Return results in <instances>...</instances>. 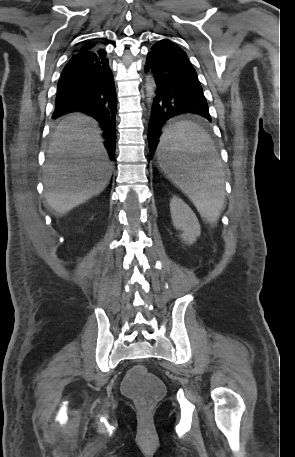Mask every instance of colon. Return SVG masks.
<instances>
[{
    "instance_id": "5ec220e1",
    "label": "colon",
    "mask_w": 295,
    "mask_h": 457,
    "mask_svg": "<svg viewBox=\"0 0 295 457\" xmlns=\"http://www.w3.org/2000/svg\"><path fill=\"white\" fill-rule=\"evenodd\" d=\"M128 369L127 381H122L121 387L127 396L133 398L142 409H149L161 396L163 388L157 374H151L150 369Z\"/></svg>"
}]
</instances>
